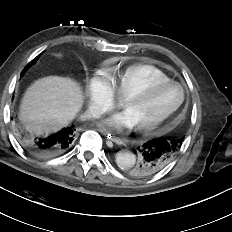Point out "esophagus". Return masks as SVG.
I'll return each mask as SVG.
<instances>
[{
  "label": "esophagus",
  "mask_w": 232,
  "mask_h": 232,
  "mask_svg": "<svg viewBox=\"0 0 232 232\" xmlns=\"http://www.w3.org/2000/svg\"><path fill=\"white\" fill-rule=\"evenodd\" d=\"M98 131L101 132L105 137H107L108 140H110L114 143H117V144L122 143V140L120 138L111 135V133L107 129H105L103 127H99Z\"/></svg>",
  "instance_id": "obj_1"
}]
</instances>
